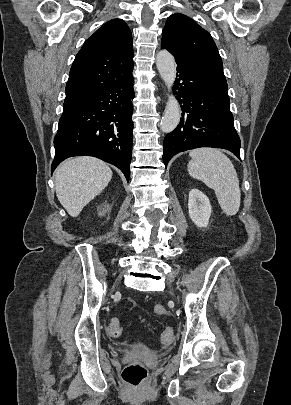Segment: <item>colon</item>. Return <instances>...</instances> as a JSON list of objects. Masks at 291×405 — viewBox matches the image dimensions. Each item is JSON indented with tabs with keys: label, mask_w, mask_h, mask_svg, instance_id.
<instances>
[{
	"label": "colon",
	"mask_w": 291,
	"mask_h": 405,
	"mask_svg": "<svg viewBox=\"0 0 291 405\" xmlns=\"http://www.w3.org/2000/svg\"><path fill=\"white\" fill-rule=\"evenodd\" d=\"M154 311L157 315H166L167 311L162 305H156ZM123 328L117 319L111 321L108 332L112 337H119L122 334ZM175 334L172 328H166L161 334V343L170 344L174 341ZM147 377V369L142 362H132L128 364L122 371V379L129 385L138 386Z\"/></svg>",
	"instance_id": "colon-1"
}]
</instances>
